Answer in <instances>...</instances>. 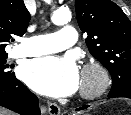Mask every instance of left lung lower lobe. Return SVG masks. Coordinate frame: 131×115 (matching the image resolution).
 <instances>
[{
	"instance_id": "left-lung-lower-lobe-1",
	"label": "left lung lower lobe",
	"mask_w": 131,
	"mask_h": 115,
	"mask_svg": "<svg viewBox=\"0 0 131 115\" xmlns=\"http://www.w3.org/2000/svg\"><path fill=\"white\" fill-rule=\"evenodd\" d=\"M109 98H112V97H109ZM131 99V98H130ZM89 107V105H83L82 107H79L78 109H76L77 111L79 110H85Z\"/></svg>"
}]
</instances>
